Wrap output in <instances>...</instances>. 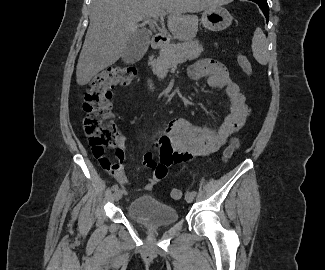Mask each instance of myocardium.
<instances>
[{
    "label": "myocardium",
    "instance_id": "myocardium-1",
    "mask_svg": "<svg viewBox=\"0 0 325 270\" xmlns=\"http://www.w3.org/2000/svg\"><path fill=\"white\" fill-rule=\"evenodd\" d=\"M217 2H224V1H228V0H216Z\"/></svg>",
    "mask_w": 325,
    "mask_h": 270
}]
</instances>
